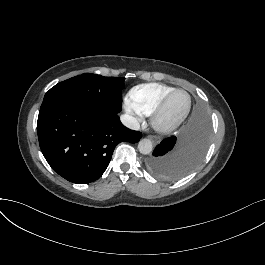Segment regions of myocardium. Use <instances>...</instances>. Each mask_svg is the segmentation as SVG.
<instances>
[{
    "instance_id": "1",
    "label": "myocardium",
    "mask_w": 265,
    "mask_h": 265,
    "mask_svg": "<svg viewBox=\"0 0 265 265\" xmlns=\"http://www.w3.org/2000/svg\"><path fill=\"white\" fill-rule=\"evenodd\" d=\"M185 92L182 89H174L171 93H169L167 96L163 98V100L159 103L153 118V123L155 128L163 133L173 131L174 129L178 128L188 117L190 108H191V101L190 99L187 102L186 108L184 113L177 119L173 121H168L165 119V110L166 107L171 100V98L177 94V93H183Z\"/></svg>"
}]
</instances>
